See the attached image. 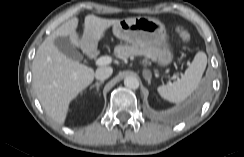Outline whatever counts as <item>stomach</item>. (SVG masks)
I'll list each match as a JSON object with an SVG mask.
<instances>
[{
    "instance_id": "1",
    "label": "stomach",
    "mask_w": 244,
    "mask_h": 157,
    "mask_svg": "<svg viewBox=\"0 0 244 157\" xmlns=\"http://www.w3.org/2000/svg\"><path fill=\"white\" fill-rule=\"evenodd\" d=\"M113 33L117 38L146 50L161 66H167L173 60L165 25L159 19L147 16L122 19L113 26Z\"/></svg>"
}]
</instances>
